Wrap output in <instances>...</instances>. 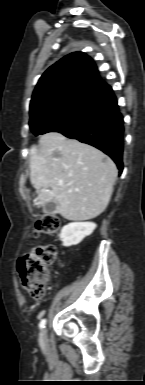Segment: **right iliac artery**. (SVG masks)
Returning a JSON list of instances; mask_svg holds the SVG:
<instances>
[{
    "mask_svg": "<svg viewBox=\"0 0 145 385\" xmlns=\"http://www.w3.org/2000/svg\"><path fill=\"white\" fill-rule=\"evenodd\" d=\"M45 325H46V320L45 319L41 320L39 327L42 329L45 327Z\"/></svg>",
    "mask_w": 145,
    "mask_h": 385,
    "instance_id": "1",
    "label": "right iliac artery"
}]
</instances>
